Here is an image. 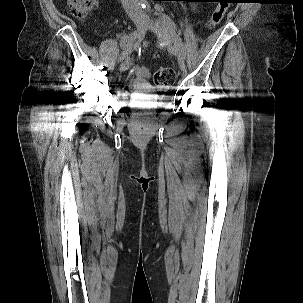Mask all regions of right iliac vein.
I'll use <instances>...</instances> for the list:
<instances>
[{"instance_id": "1", "label": "right iliac vein", "mask_w": 303, "mask_h": 303, "mask_svg": "<svg viewBox=\"0 0 303 303\" xmlns=\"http://www.w3.org/2000/svg\"><path fill=\"white\" fill-rule=\"evenodd\" d=\"M136 28H137V38L138 42H141L146 34V31L148 29V23L146 20H136L135 22ZM130 58H126L120 65V71L124 72L126 71L130 66Z\"/></svg>"}]
</instances>
